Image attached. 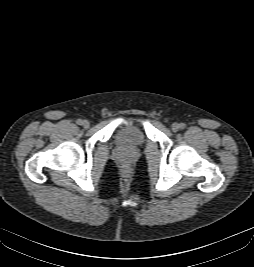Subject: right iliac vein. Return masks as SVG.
<instances>
[{
  "label": "right iliac vein",
  "instance_id": "right-iliac-vein-1",
  "mask_svg": "<svg viewBox=\"0 0 254 267\" xmlns=\"http://www.w3.org/2000/svg\"><path fill=\"white\" fill-rule=\"evenodd\" d=\"M82 125H83L84 128H89L90 123H89V121L84 120L83 123H82Z\"/></svg>",
  "mask_w": 254,
  "mask_h": 267
}]
</instances>
